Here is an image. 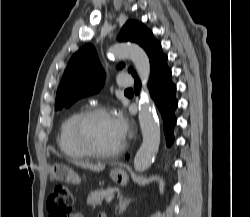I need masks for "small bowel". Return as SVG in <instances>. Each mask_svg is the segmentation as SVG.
<instances>
[{
	"instance_id": "small-bowel-1",
	"label": "small bowel",
	"mask_w": 250,
	"mask_h": 217,
	"mask_svg": "<svg viewBox=\"0 0 250 217\" xmlns=\"http://www.w3.org/2000/svg\"><path fill=\"white\" fill-rule=\"evenodd\" d=\"M70 217H83V216L81 213L76 212V213L71 214Z\"/></svg>"
}]
</instances>
